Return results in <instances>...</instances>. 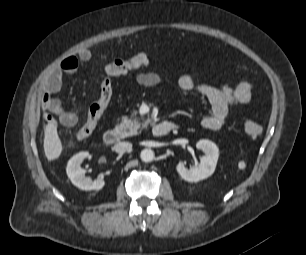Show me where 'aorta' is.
<instances>
[{"label": "aorta", "mask_w": 306, "mask_h": 255, "mask_svg": "<svg viewBox=\"0 0 306 255\" xmlns=\"http://www.w3.org/2000/svg\"><path fill=\"white\" fill-rule=\"evenodd\" d=\"M154 152L151 149H143L140 153V158L143 162H151L154 160Z\"/></svg>", "instance_id": "obj_1"}]
</instances>
